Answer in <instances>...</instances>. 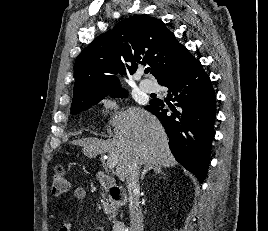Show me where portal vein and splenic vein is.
I'll return each instance as SVG.
<instances>
[{"label":"portal vein and splenic vein","mask_w":268,"mask_h":231,"mask_svg":"<svg viewBox=\"0 0 268 231\" xmlns=\"http://www.w3.org/2000/svg\"><path fill=\"white\" fill-rule=\"evenodd\" d=\"M117 162H118V157L111 153L107 156V167L111 170L113 169L116 165H117Z\"/></svg>","instance_id":"obj_1"}]
</instances>
